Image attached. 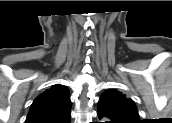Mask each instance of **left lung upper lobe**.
<instances>
[{"instance_id": "5c2ea615", "label": "left lung upper lobe", "mask_w": 172, "mask_h": 123, "mask_svg": "<svg viewBox=\"0 0 172 123\" xmlns=\"http://www.w3.org/2000/svg\"><path fill=\"white\" fill-rule=\"evenodd\" d=\"M107 116L111 123H139L136 107L131 99L114 89L102 94L98 102V117Z\"/></svg>"}]
</instances>
